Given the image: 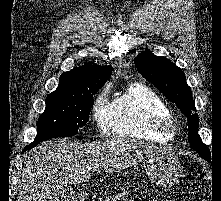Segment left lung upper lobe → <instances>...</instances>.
Listing matches in <instances>:
<instances>
[{
	"instance_id": "5c2ea615",
	"label": "left lung upper lobe",
	"mask_w": 221,
	"mask_h": 201,
	"mask_svg": "<svg viewBox=\"0 0 221 201\" xmlns=\"http://www.w3.org/2000/svg\"><path fill=\"white\" fill-rule=\"evenodd\" d=\"M140 74L149 80L168 100L175 103L188 121V139L190 146L205 159H211L210 150L198 134L199 118L196 111L191 88L187 85L183 71L165 57H158L149 50L134 58Z\"/></svg>"
}]
</instances>
